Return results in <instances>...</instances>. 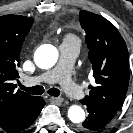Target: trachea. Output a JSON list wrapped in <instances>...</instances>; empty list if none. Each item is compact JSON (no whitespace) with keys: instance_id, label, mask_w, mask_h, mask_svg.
<instances>
[{"instance_id":"trachea-1","label":"trachea","mask_w":133,"mask_h":133,"mask_svg":"<svg viewBox=\"0 0 133 133\" xmlns=\"http://www.w3.org/2000/svg\"><path fill=\"white\" fill-rule=\"evenodd\" d=\"M20 88L32 95H41L44 93V88L42 86H34V87L28 88V87L20 85ZM48 94L51 96L57 97L60 95V91L56 88H51L48 90Z\"/></svg>"}]
</instances>
